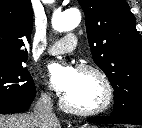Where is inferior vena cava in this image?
<instances>
[{
    "mask_svg": "<svg viewBox=\"0 0 142 128\" xmlns=\"http://www.w3.org/2000/svg\"><path fill=\"white\" fill-rule=\"evenodd\" d=\"M33 116L38 121V128H52L58 122L53 112V104L49 95H41L35 104Z\"/></svg>",
    "mask_w": 142,
    "mask_h": 128,
    "instance_id": "obj_1",
    "label": "inferior vena cava"
}]
</instances>
